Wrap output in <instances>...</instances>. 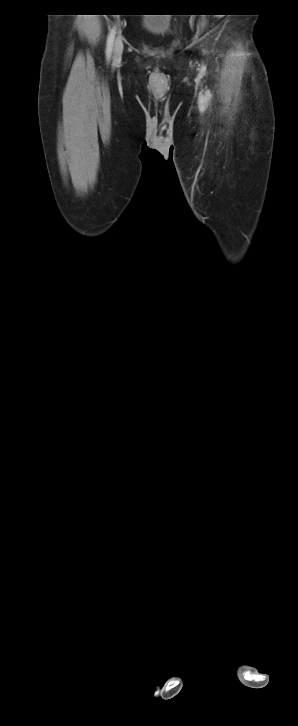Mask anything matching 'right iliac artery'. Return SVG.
<instances>
[{"label":"right iliac artery","instance_id":"right-iliac-artery-1","mask_svg":"<svg viewBox=\"0 0 298 726\" xmlns=\"http://www.w3.org/2000/svg\"><path fill=\"white\" fill-rule=\"evenodd\" d=\"M115 34H116V29L113 28L110 31V34H109L108 40H107V46H106V57H107V60H110V57H111V54H112L113 42H114V39H115Z\"/></svg>","mask_w":298,"mask_h":726}]
</instances>
